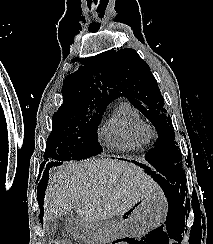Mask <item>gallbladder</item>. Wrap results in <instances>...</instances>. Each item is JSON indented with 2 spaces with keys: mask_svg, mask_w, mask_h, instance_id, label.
Instances as JSON below:
<instances>
[{
  "mask_svg": "<svg viewBox=\"0 0 213 244\" xmlns=\"http://www.w3.org/2000/svg\"><path fill=\"white\" fill-rule=\"evenodd\" d=\"M46 226V230L50 233H54L57 229H58V226H59V222L58 221H52V222H47L45 224Z\"/></svg>",
  "mask_w": 213,
  "mask_h": 244,
  "instance_id": "1",
  "label": "gallbladder"
}]
</instances>
